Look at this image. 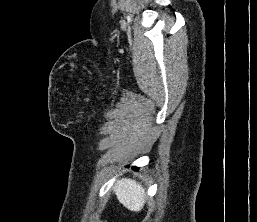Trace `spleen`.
Listing matches in <instances>:
<instances>
[{
    "label": "spleen",
    "instance_id": "obj_1",
    "mask_svg": "<svg viewBox=\"0 0 257 222\" xmlns=\"http://www.w3.org/2000/svg\"><path fill=\"white\" fill-rule=\"evenodd\" d=\"M119 202L127 209L139 212L145 203V190L132 179H121L113 187Z\"/></svg>",
    "mask_w": 257,
    "mask_h": 222
}]
</instances>
